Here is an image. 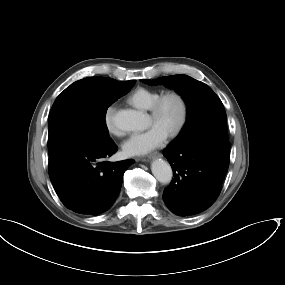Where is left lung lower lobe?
Returning a JSON list of instances; mask_svg holds the SVG:
<instances>
[{
  "mask_svg": "<svg viewBox=\"0 0 285 285\" xmlns=\"http://www.w3.org/2000/svg\"><path fill=\"white\" fill-rule=\"evenodd\" d=\"M229 149V141L203 139L164 150L174 176L163 192L171 212L178 216L195 215L216 201L228 171Z\"/></svg>",
  "mask_w": 285,
  "mask_h": 285,
  "instance_id": "0a47b994",
  "label": "left lung lower lobe"
}]
</instances>
